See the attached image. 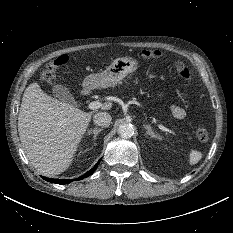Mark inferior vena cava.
I'll list each match as a JSON object with an SVG mask.
<instances>
[{"instance_id": "602c4592", "label": "inferior vena cava", "mask_w": 233, "mask_h": 233, "mask_svg": "<svg viewBox=\"0 0 233 233\" xmlns=\"http://www.w3.org/2000/svg\"><path fill=\"white\" fill-rule=\"evenodd\" d=\"M111 115L107 112H100L94 115L93 121L98 126L107 127L111 123Z\"/></svg>"}]
</instances>
